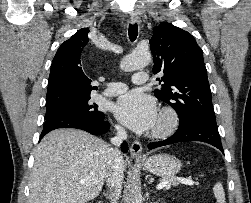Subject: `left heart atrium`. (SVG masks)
Here are the masks:
<instances>
[{
	"label": "left heart atrium",
	"mask_w": 251,
	"mask_h": 203,
	"mask_svg": "<svg viewBox=\"0 0 251 203\" xmlns=\"http://www.w3.org/2000/svg\"><path fill=\"white\" fill-rule=\"evenodd\" d=\"M119 119L138 132L151 129L157 121V109L152 97L138 90L121 96L115 106Z\"/></svg>",
	"instance_id": "obj_1"
}]
</instances>
